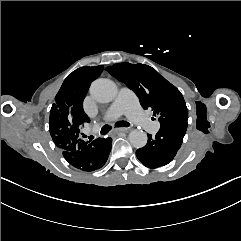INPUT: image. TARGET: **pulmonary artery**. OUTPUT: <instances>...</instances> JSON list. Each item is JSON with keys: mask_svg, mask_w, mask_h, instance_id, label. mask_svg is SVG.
<instances>
[{"mask_svg": "<svg viewBox=\"0 0 241 241\" xmlns=\"http://www.w3.org/2000/svg\"><path fill=\"white\" fill-rule=\"evenodd\" d=\"M125 115L149 135H154L159 130L158 123L147 116L146 109L138 103V97L128 89H121L120 96L109 103L108 109H101L98 112V119L101 122L116 120L121 116V110Z\"/></svg>", "mask_w": 241, "mask_h": 241, "instance_id": "obj_1", "label": "pulmonary artery"}]
</instances>
